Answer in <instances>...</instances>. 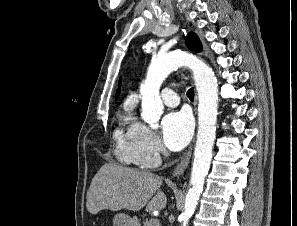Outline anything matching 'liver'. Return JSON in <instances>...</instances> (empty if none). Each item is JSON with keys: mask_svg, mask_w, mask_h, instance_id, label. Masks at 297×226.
<instances>
[{"mask_svg": "<svg viewBox=\"0 0 297 226\" xmlns=\"http://www.w3.org/2000/svg\"><path fill=\"white\" fill-rule=\"evenodd\" d=\"M162 179L148 171L115 163L104 164L95 174L87 193V210L96 215L104 209L146 211L163 209L166 195L160 190Z\"/></svg>", "mask_w": 297, "mask_h": 226, "instance_id": "obj_1", "label": "liver"}]
</instances>
